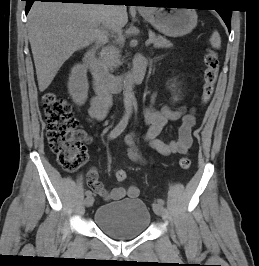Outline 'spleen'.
<instances>
[{"mask_svg": "<svg viewBox=\"0 0 259 266\" xmlns=\"http://www.w3.org/2000/svg\"><path fill=\"white\" fill-rule=\"evenodd\" d=\"M210 44L215 49H220L221 47V38L217 31H214L210 38Z\"/></svg>", "mask_w": 259, "mask_h": 266, "instance_id": "1", "label": "spleen"}]
</instances>
